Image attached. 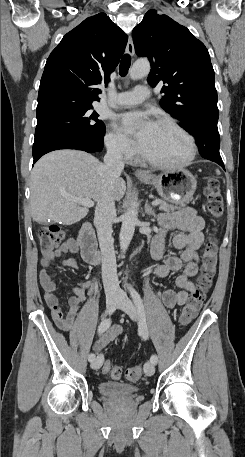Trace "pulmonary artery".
Here are the masks:
<instances>
[{
    "instance_id": "e3ab8cb5",
    "label": "pulmonary artery",
    "mask_w": 245,
    "mask_h": 457,
    "mask_svg": "<svg viewBox=\"0 0 245 457\" xmlns=\"http://www.w3.org/2000/svg\"><path fill=\"white\" fill-rule=\"evenodd\" d=\"M148 86H136L134 91L119 93L113 103L114 106H131L148 100Z\"/></svg>"
}]
</instances>
